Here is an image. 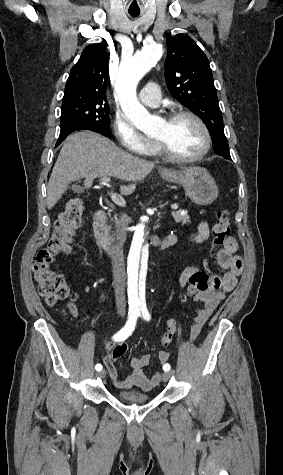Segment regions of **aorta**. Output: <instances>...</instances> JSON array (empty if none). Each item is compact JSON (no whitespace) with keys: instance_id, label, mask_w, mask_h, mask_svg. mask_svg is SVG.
<instances>
[{"instance_id":"aorta-1","label":"aorta","mask_w":283,"mask_h":475,"mask_svg":"<svg viewBox=\"0 0 283 475\" xmlns=\"http://www.w3.org/2000/svg\"><path fill=\"white\" fill-rule=\"evenodd\" d=\"M162 46L151 43L133 57L124 59L115 82V91L121 108L127 118L146 134H154L160 127V120L152 116L140 104L136 88L141 78L160 60ZM159 196L156 192L147 195L143 210L136 224L132 226L133 238L127 258L128 303L139 309L146 305V277L149 259V236L153 223L159 216Z\"/></svg>"}]
</instances>
